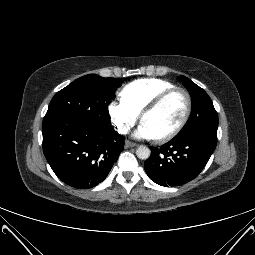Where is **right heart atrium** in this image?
<instances>
[{
    "label": "right heart atrium",
    "instance_id": "obj_1",
    "mask_svg": "<svg viewBox=\"0 0 255 255\" xmlns=\"http://www.w3.org/2000/svg\"><path fill=\"white\" fill-rule=\"evenodd\" d=\"M110 119L120 134H127L137 123L139 114L123 100L111 101L108 105Z\"/></svg>",
    "mask_w": 255,
    "mask_h": 255
}]
</instances>
